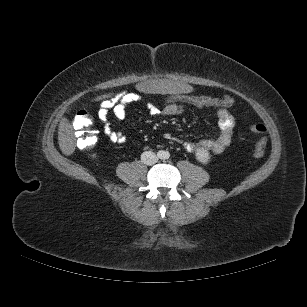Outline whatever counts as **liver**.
Listing matches in <instances>:
<instances>
[{
    "mask_svg": "<svg viewBox=\"0 0 307 307\" xmlns=\"http://www.w3.org/2000/svg\"><path fill=\"white\" fill-rule=\"evenodd\" d=\"M136 89L146 94L163 92L165 94H177L180 96L194 95L197 92V85L191 81H184L177 78H150L144 79L136 84ZM103 95L102 97H108ZM102 97H97L98 101ZM58 142L63 154L69 156L75 150V137L73 129L67 118H62L58 127Z\"/></svg>",
    "mask_w": 307,
    "mask_h": 307,
    "instance_id": "6515ba94",
    "label": "liver"
}]
</instances>
